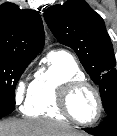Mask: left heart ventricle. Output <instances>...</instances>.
<instances>
[{
    "mask_svg": "<svg viewBox=\"0 0 117 136\" xmlns=\"http://www.w3.org/2000/svg\"><path fill=\"white\" fill-rule=\"evenodd\" d=\"M72 110L80 120H93L98 112L95 95L90 90L80 91L73 98Z\"/></svg>",
    "mask_w": 117,
    "mask_h": 136,
    "instance_id": "left-heart-ventricle-1",
    "label": "left heart ventricle"
}]
</instances>
